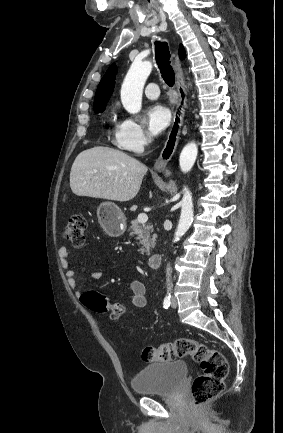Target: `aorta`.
<instances>
[{"label": "aorta", "instance_id": "obj_1", "mask_svg": "<svg viewBox=\"0 0 283 433\" xmlns=\"http://www.w3.org/2000/svg\"><path fill=\"white\" fill-rule=\"evenodd\" d=\"M152 64L149 61L132 63L121 87V102L123 107L131 114H136L142 107V93L144 84L150 75ZM198 153L195 142H189L181 151L179 165L182 172L187 173L193 167ZM181 215L174 234L177 242L189 229L193 220L192 194L187 187L183 189Z\"/></svg>", "mask_w": 283, "mask_h": 433}]
</instances>
